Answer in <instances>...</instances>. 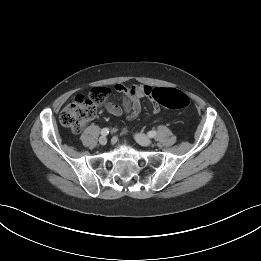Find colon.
Wrapping results in <instances>:
<instances>
[{
	"label": "colon",
	"mask_w": 261,
	"mask_h": 261,
	"mask_svg": "<svg viewBox=\"0 0 261 261\" xmlns=\"http://www.w3.org/2000/svg\"><path fill=\"white\" fill-rule=\"evenodd\" d=\"M109 94L108 88L97 87L87 95L78 96L61 111L60 123L73 132H80L95 117L98 108L107 101ZM151 97L156 104L173 110L184 109L190 103L185 93L172 88L153 89Z\"/></svg>",
	"instance_id": "1"
}]
</instances>
